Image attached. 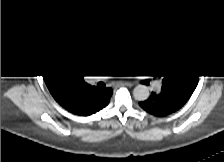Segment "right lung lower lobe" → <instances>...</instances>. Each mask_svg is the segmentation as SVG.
<instances>
[{"mask_svg":"<svg viewBox=\"0 0 224 162\" xmlns=\"http://www.w3.org/2000/svg\"><path fill=\"white\" fill-rule=\"evenodd\" d=\"M111 94H112V90H111ZM111 94L103 100L102 104L97 108V110L94 113L98 112L99 110H101L102 108H104L105 106L108 105ZM94 113H92V114H94ZM89 115H91V114H89ZM82 116H88V115H82Z\"/></svg>","mask_w":224,"mask_h":162,"instance_id":"98d812e1","label":"right lung lower lobe"}]
</instances>
